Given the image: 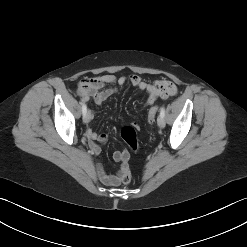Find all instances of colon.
<instances>
[{
    "label": "colon",
    "instance_id": "1",
    "mask_svg": "<svg viewBox=\"0 0 247 247\" xmlns=\"http://www.w3.org/2000/svg\"><path fill=\"white\" fill-rule=\"evenodd\" d=\"M158 106H152L149 109L148 112V120L150 123H153L155 121L156 115L158 113ZM137 125L133 124L130 126H126L122 128L120 132V136L122 140L132 149L137 150L138 145V139H137V133H136ZM123 157L128 160V153L126 151L122 152ZM121 181L123 184H129L131 181V173L129 169H127L121 176Z\"/></svg>",
    "mask_w": 247,
    "mask_h": 247
}]
</instances>
